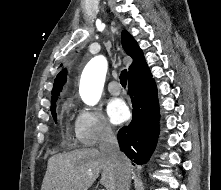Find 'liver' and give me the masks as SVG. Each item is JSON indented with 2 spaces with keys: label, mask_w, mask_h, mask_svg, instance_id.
<instances>
[{
  "label": "liver",
  "mask_w": 221,
  "mask_h": 190,
  "mask_svg": "<svg viewBox=\"0 0 221 190\" xmlns=\"http://www.w3.org/2000/svg\"><path fill=\"white\" fill-rule=\"evenodd\" d=\"M101 171L100 183L106 190H116L118 172L98 149L82 148L59 153L48 160L41 190H88Z\"/></svg>",
  "instance_id": "6515ba94"
}]
</instances>
